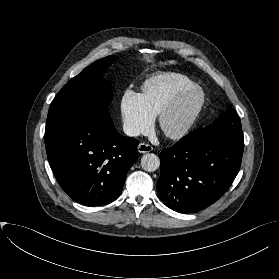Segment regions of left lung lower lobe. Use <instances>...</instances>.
Here are the masks:
<instances>
[{"mask_svg": "<svg viewBox=\"0 0 279 279\" xmlns=\"http://www.w3.org/2000/svg\"><path fill=\"white\" fill-rule=\"evenodd\" d=\"M243 149L244 143L225 136L183 137L160 154V199L180 213H193L212 205L238 174Z\"/></svg>", "mask_w": 279, "mask_h": 279, "instance_id": "0a47b994", "label": "left lung lower lobe"}]
</instances>
